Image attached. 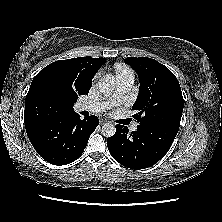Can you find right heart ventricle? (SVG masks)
<instances>
[{"label": "right heart ventricle", "instance_id": "e07e8e85", "mask_svg": "<svg viewBox=\"0 0 222 222\" xmlns=\"http://www.w3.org/2000/svg\"><path fill=\"white\" fill-rule=\"evenodd\" d=\"M133 77V72L130 68L123 66V65H117L115 67V78L118 80L122 77Z\"/></svg>", "mask_w": 222, "mask_h": 222}]
</instances>
